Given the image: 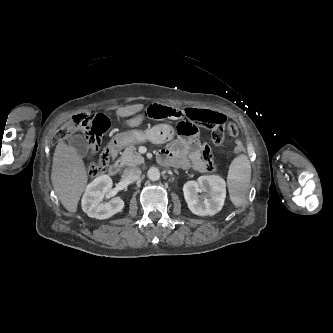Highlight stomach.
Masks as SVG:
<instances>
[{
  "label": "stomach",
  "instance_id": "obj_1",
  "mask_svg": "<svg viewBox=\"0 0 333 333\" xmlns=\"http://www.w3.org/2000/svg\"><path fill=\"white\" fill-rule=\"evenodd\" d=\"M174 129L168 124H159L148 127L146 130L132 129L117 133L113 136L111 143L117 148H122L132 144H140L150 141L156 144H164L173 139Z\"/></svg>",
  "mask_w": 333,
  "mask_h": 333
}]
</instances>
